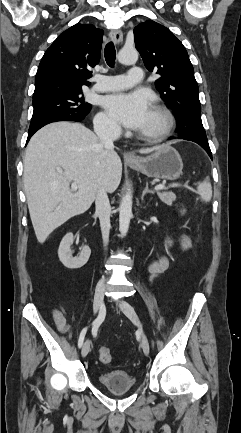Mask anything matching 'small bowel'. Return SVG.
<instances>
[{"label": "small bowel", "instance_id": "small-bowel-1", "mask_svg": "<svg viewBox=\"0 0 241 433\" xmlns=\"http://www.w3.org/2000/svg\"><path fill=\"white\" fill-rule=\"evenodd\" d=\"M180 215L184 214V209L179 210ZM191 239L187 234H183L180 239V247L182 251H188L191 248ZM169 266V261L166 257H162L157 261H154L150 265V272L153 277H157L164 273ZM56 327L61 332H67L70 326L67 325L64 316L58 309H54L52 313Z\"/></svg>", "mask_w": 241, "mask_h": 433}]
</instances>
